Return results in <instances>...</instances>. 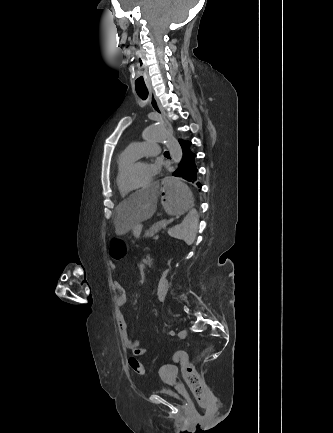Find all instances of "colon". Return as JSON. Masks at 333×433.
I'll list each match as a JSON object with an SVG mask.
<instances>
[{
	"mask_svg": "<svg viewBox=\"0 0 333 433\" xmlns=\"http://www.w3.org/2000/svg\"><path fill=\"white\" fill-rule=\"evenodd\" d=\"M109 247L111 249L109 252L111 258H123L124 253H128L129 250L127 237L113 236L112 240L109 242ZM167 279L168 271L162 270L161 275L159 276V285L156 286L157 293L155 294V297L157 298V302H160L164 297L163 287L166 286ZM172 359L173 362H177L180 365L183 378L195 400L202 406L206 405L210 398V390L203 374L195 367L190 355L187 352L180 350L173 354ZM129 365L137 374H145L144 365L138 359L131 357L129 359Z\"/></svg>",
	"mask_w": 333,
	"mask_h": 433,
	"instance_id": "5ec220e1",
	"label": "colon"
}]
</instances>
